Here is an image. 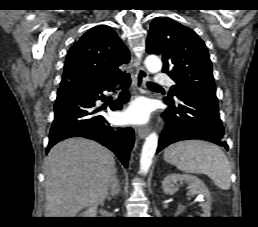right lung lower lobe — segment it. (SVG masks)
Here are the masks:
<instances>
[{
	"label": "right lung lower lobe",
	"mask_w": 258,
	"mask_h": 227,
	"mask_svg": "<svg viewBox=\"0 0 258 227\" xmlns=\"http://www.w3.org/2000/svg\"><path fill=\"white\" fill-rule=\"evenodd\" d=\"M118 83H122L124 88L119 99L112 103L111 109H122V104L130 98L127 90L130 76L126 73L109 82L85 81L58 92L47 152L59 141L80 136L106 146L127 167L134 145L133 129L109 127L105 118L98 114L100 108H95L96 100L105 99V96L101 95L102 92L111 91Z\"/></svg>",
	"instance_id": "obj_1"
}]
</instances>
